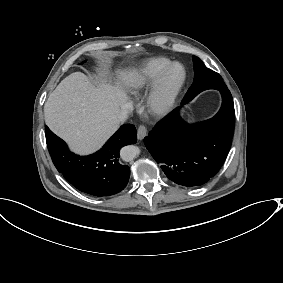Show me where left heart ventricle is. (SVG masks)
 Masks as SVG:
<instances>
[{"mask_svg": "<svg viewBox=\"0 0 283 283\" xmlns=\"http://www.w3.org/2000/svg\"><path fill=\"white\" fill-rule=\"evenodd\" d=\"M182 74L181 66L173 67L164 80V90L166 92L170 91L180 81Z\"/></svg>", "mask_w": 283, "mask_h": 283, "instance_id": "obj_1", "label": "left heart ventricle"}]
</instances>
